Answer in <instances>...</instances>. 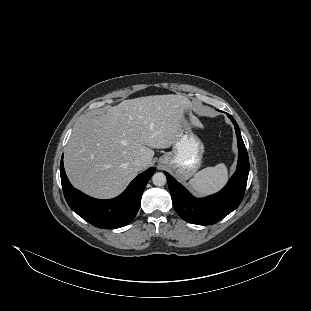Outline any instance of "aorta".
Masks as SVG:
<instances>
[{
    "instance_id": "aorta-1",
    "label": "aorta",
    "mask_w": 311,
    "mask_h": 311,
    "mask_svg": "<svg viewBox=\"0 0 311 311\" xmlns=\"http://www.w3.org/2000/svg\"><path fill=\"white\" fill-rule=\"evenodd\" d=\"M167 182V178L164 173L157 172L152 176V183L155 186L161 187L164 186Z\"/></svg>"
}]
</instances>
